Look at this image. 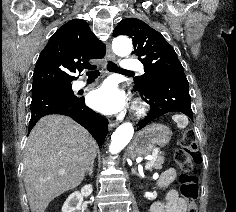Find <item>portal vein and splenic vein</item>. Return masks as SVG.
<instances>
[{
    "label": "portal vein and splenic vein",
    "instance_id": "18ae733b",
    "mask_svg": "<svg viewBox=\"0 0 236 212\" xmlns=\"http://www.w3.org/2000/svg\"><path fill=\"white\" fill-rule=\"evenodd\" d=\"M158 153H159V149H155V150L153 151L152 155L146 157L145 159H147V160H153L154 157H155ZM149 167H150V164H146V165H145V169H149ZM59 172H60L61 174L64 173L63 170H60Z\"/></svg>",
    "mask_w": 236,
    "mask_h": 212
}]
</instances>
